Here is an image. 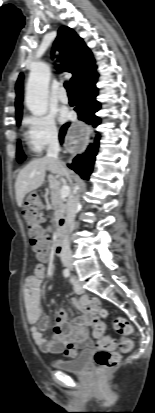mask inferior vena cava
Masks as SVG:
<instances>
[{
	"label": "inferior vena cava",
	"mask_w": 155,
	"mask_h": 413,
	"mask_svg": "<svg viewBox=\"0 0 155 413\" xmlns=\"http://www.w3.org/2000/svg\"><path fill=\"white\" fill-rule=\"evenodd\" d=\"M59 150H60V146H59L58 136L57 134H54L49 141L46 158L48 159L51 165L56 166L58 168L61 175L69 178L70 174L68 170L63 166L61 161L58 159ZM77 193H78V187H75L73 194L68 199L67 216L65 220L67 228H71L73 226L74 218H75L77 209L80 205L79 195ZM61 261L66 267L70 269L73 268L72 253H71V249H70V245H69V241L67 237L64 242L62 251H61Z\"/></svg>",
	"instance_id": "obj_1"
}]
</instances>
